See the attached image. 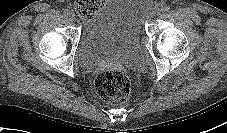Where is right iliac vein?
<instances>
[{
	"label": "right iliac vein",
	"instance_id": "63e3f726",
	"mask_svg": "<svg viewBox=\"0 0 227 133\" xmlns=\"http://www.w3.org/2000/svg\"><path fill=\"white\" fill-rule=\"evenodd\" d=\"M69 17H70V19L72 20V21H75V15L73 14V13H70V15H69Z\"/></svg>",
	"mask_w": 227,
	"mask_h": 133
}]
</instances>
